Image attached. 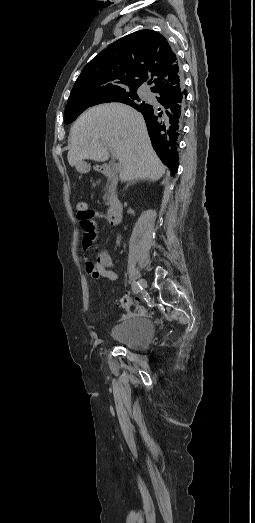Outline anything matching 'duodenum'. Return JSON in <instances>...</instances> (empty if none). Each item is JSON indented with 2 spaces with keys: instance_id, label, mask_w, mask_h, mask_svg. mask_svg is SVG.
<instances>
[{
  "instance_id": "1",
  "label": "duodenum",
  "mask_w": 255,
  "mask_h": 523,
  "mask_svg": "<svg viewBox=\"0 0 255 523\" xmlns=\"http://www.w3.org/2000/svg\"><path fill=\"white\" fill-rule=\"evenodd\" d=\"M98 171L104 174L112 183L115 180V166L111 163H105L98 166ZM123 207L121 202L114 194V188L111 186L109 206L107 210V220L110 225H118L121 222Z\"/></svg>"
}]
</instances>
